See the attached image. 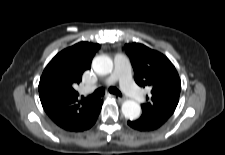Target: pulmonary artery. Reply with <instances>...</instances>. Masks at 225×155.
<instances>
[{
	"label": "pulmonary artery",
	"instance_id": "pulmonary-artery-1",
	"mask_svg": "<svg viewBox=\"0 0 225 155\" xmlns=\"http://www.w3.org/2000/svg\"><path fill=\"white\" fill-rule=\"evenodd\" d=\"M119 81L122 90L135 101H142L143 94L134 84L130 71L127 57L124 54L115 56L114 72L105 80L106 84H113Z\"/></svg>",
	"mask_w": 225,
	"mask_h": 155
}]
</instances>
